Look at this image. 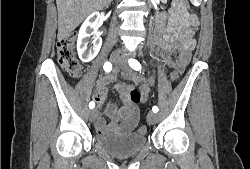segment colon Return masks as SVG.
<instances>
[{
  "mask_svg": "<svg viewBox=\"0 0 250 169\" xmlns=\"http://www.w3.org/2000/svg\"><path fill=\"white\" fill-rule=\"evenodd\" d=\"M188 0H180V4H183V8H189ZM76 34H69L68 37H60L56 42L57 57L61 68L72 78H79L81 74V64L75 53ZM170 84L177 86V80L179 79V72L176 69H171ZM129 95L131 100H140L141 91H130ZM141 131L145 128L141 127Z\"/></svg>",
  "mask_w": 250,
  "mask_h": 169,
  "instance_id": "1",
  "label": "colon"
}]
</instances>
